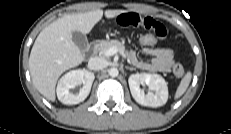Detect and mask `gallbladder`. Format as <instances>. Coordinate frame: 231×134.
<instances>
[{
  "mask_svg": "<svg viewBox=\"0 0 231 134\" xmlns=\"http://www.w3.org/2000/svg\"><path fill=\"white\" fill-rule=\"evenodd\" d=\"M72 40L78 46L80 50H86L88 48L87 37L81 32L74 31L72 32Z\"/></svg>",
  "mask_w": 231,
  "mask_h": 134,
  "instance_id": "obj_1",
  "label": "gallbladder"
}]
</instances>
